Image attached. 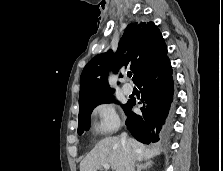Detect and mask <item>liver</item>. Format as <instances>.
<instances>
[{
  "label": "liver",
  "mask_w": 223,
  "mask_h": 171,
  "mask_svg": "<svg viewBox=\"0 0 223 171\" xmlns=\"http://www.w3.org/2000/svg\"><path fill=\"white\" fill-rule=\"evenodd\" d=\"M135 160L142 161L159 155V148L149 149L135 139H128ZM125 151L119 137H106L100 140L90 153L81 161L80 171H97L109 164L112 171H124Z\"/></svg>",
  "instance_id": "liver-1"
}]
</instances>
